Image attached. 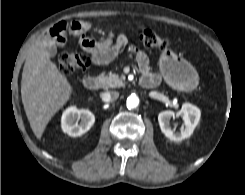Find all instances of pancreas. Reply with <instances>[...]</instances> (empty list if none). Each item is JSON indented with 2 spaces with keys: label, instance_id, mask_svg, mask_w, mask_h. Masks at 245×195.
Here are the masks:
<instances>
[{
  "label": "pancreas",
  "instance_id": "pancreas-1",
  "mask_svg": "<svg viewBox=\"0 0 245 195\" xmlns=\"http://www.w3.org/2000/svg\"><path fill=\"white\" fill-rule=\"evenodd\" d=\"M102 85L105 89L108 88H120L125 84L123 80L119 77V75L110 73L108 76L102 77Z\"/></svg>",
  "mask_w": 245,
  "mask_h": 195
}]
</instances>
